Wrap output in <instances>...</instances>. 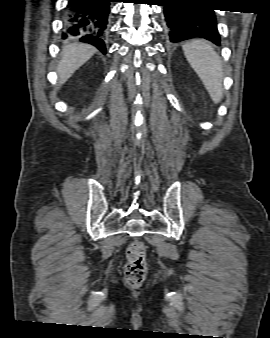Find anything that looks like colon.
Listing matches in <instances>:
<instances>
[{"mask_svg":"<svg viewBox=\"0 0 270 338\" xmlns=\"http://www.w3.org/2000/svg\"><path fill=\"white\" fill-rule=\"evenodd\" d=\"M146 272V248L142 242L134 241L126 250L125 279L130 286L139 287L145 280Z\"/></svg>","mask_w":270,"mask_h":338,"instance_id":"1","label":"colon"}]
</instances>
